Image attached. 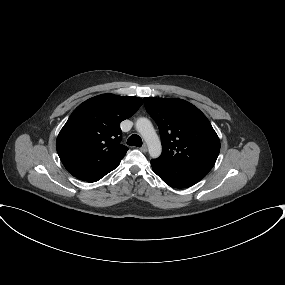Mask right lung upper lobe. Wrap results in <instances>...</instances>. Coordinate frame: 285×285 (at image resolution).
Returning a JSON list of instances; mask_svg holds the SVG:
<instances>
[{
  "instance_id": "right-lung-upper-lobe-1",
  "label": "right lung upper lobe",
  "mask_w": 285,
  "mask_h": 285,
  "mask_svg": "<svg viewBox=\"0 0 285 285\" xmlns=\"http://www.w3.org/2000/svg\"><path fill=\"white\" fill-rule=\"evenodd\" d=\"M142 103L138 97L102 94L80 104L56 142L57 153L68 172L91 181L117 168L128 150L120 144V122L131 117Z\"/></svg>"
}]
</instances>
